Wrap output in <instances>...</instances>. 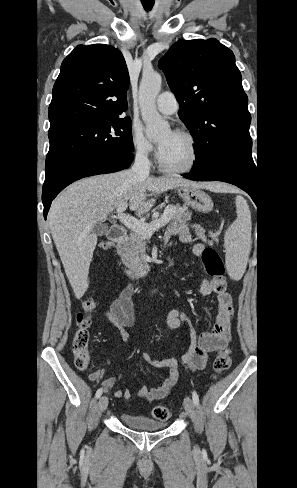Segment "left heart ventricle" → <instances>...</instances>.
<instances>
[{
	"label": "left heart ventricle",
	"instance_id": "left-heart-ventricle-1",
	"mask_svg": "<svg viewBox=\"0 0 297 488\" xmlns=\"http://www.w3.org/2000/svg\"><path fill=\"white\" fill-rule=\"evenodd\" d=\"M158 143L160 157L167 166L181 168L190 162L192 150L183 137L167 131L158 138Z\"/></svg>",
	"mask_w": 297,
	"mask_h": 488
}]
</instances>
